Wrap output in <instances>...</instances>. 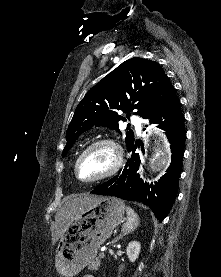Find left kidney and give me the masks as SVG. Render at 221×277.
I'll use <instances>...</instances> for the list:
<instances>
[{"mask_svg":"<svg viewBox=\"0 0 221 277\" xmlns=\"http://www.w3.org/2000/svg\"><path fill=\"white\" fill-rule=\"evenodd\" d=\"M141 250V245L137 241H132L128 244L126 248V253L131 262H135L138 258Z\"/></svg>","mask_w":221,"mask_h":277,"instance_id":"1","label":"left kidney"}]
</instances>
